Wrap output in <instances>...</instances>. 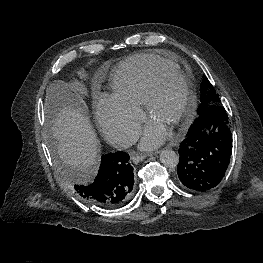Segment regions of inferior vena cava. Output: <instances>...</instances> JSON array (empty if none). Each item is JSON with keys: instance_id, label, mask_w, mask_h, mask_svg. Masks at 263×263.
<instances>
[{"instance_id": "obj_1", "label": "inferior vena cava", "mask_w": 263, "mask_h": 263, "mask_svg": "<svg viewBox=\"0 0 263 263\" xmlns=\"http://www.w3.org/2000/svg\"><path fill=\"white\" fill-rule=\"evenodd\" d=\"M136 138L125 129H118L115 132L113 143L118 148H129L134 145Z\"/></svg>"}]
</instances>
